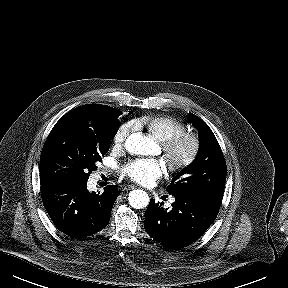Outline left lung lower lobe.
<instances>
[{"label":"left lung lower lobe","mask_w":288,"mask_h":288,"mask_svg":"<svg viewBox=\"0 0 288 288\" xmlns=\"http://www.w3.org/2000/svg\"><path fill=\"white\" fill-rule=\"evenodd\" d=\"M174 197L170 209L150 199L144 227L160 245L176 250L198 240L215 220L220 206L194 197Z\"/></svg>","instance_id":"obj_1"}]
</instances>
